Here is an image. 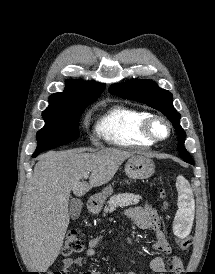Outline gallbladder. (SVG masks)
I'll return each instance as SVG.
<instances>
[{"mask_svg":"<svg viewBox=\"0 0 215 274\" xmlns=\"http://www.w3.org/2000/svg\"><path fill=\"white\" fill-rule=\"evenodd\" d=\"M83 207V203L79 199H72L69 205V214L73 219L79 217L81 210Z\"/></svg>","mask_w":215,"mask_h":274,"instance_id":"obj_1","label":"gallbladder"}]
</instances>
